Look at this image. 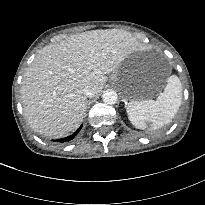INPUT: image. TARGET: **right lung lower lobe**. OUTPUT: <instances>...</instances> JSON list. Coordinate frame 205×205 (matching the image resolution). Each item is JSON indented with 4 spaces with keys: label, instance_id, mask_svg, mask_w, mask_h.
<instances>
[{
    "label": "right lung lower lobe",
    "instance_id": "right-lung-lower-lobe-1",
    "mask_svg": "<svg viewBox=\"0 0 205 205\" xmlns=\"http://www.w3.org/2000/svg\"><path fill=\"white\" fill-rule=\"evenodd\" d=\"M82 128V126H80V128L76 131V132H74L72 135H70V136H68V137H65V138H62V139H60V140H56L57 142L59 141V142H66V141H70V140H72L77 134H78V132L80 131V129Z\"/></svg>",
    "mask_w": 205,
    "mask_h": 205
}]
</instances>
